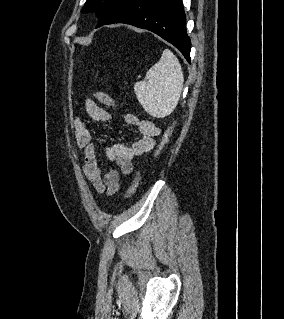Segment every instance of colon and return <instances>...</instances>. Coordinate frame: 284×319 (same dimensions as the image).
Here are the masks:
<instances>
[{
	"mask_svg": "<svg viewBox=\"0 0 284 319\" xmlns=\"http://www.w3.org/2000/svg\"><path fill=\"white\" fill-rule=\"evenodd\" d=\"M95 97L99 102H101L104 105H107L110 107L117 106L115 100L105 91H101V90L97 91L95 93ZM172 131H173V125L171 124L166 128V130L162 136L161 142L159 143L157 149L155 150L156 154L159 153L167 145V143L169 142V139L171 137ZM138 184H139V174L136 173L134 175L128 189L126 190V192L124 194V199H129L135 193V191L138 187Z\"/></svg>",
	"mask_w": 284,
	"mask_h": 319,
	"instance_id": "colon-1",
	"label": "colon"
}]
</instances>
